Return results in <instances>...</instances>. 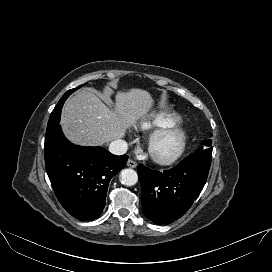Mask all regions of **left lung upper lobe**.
I'll use <instances>...</instances> for the list:
<instances>
[{"mask_svg": "<svg viewBox=\"0 0 272 272\" xmlns=\"http://www.w3.org/2000/svg\"><path fill=\"white\" fill-rule=\"evenodd\" d=\"M211 144H212V140H204V141H202V146H200V147L196 150V152L202 151L203 149H206V148L211 147Z\"/></svg>", "mask_w": 272, "mask_h": 272, "instance_id": "obj_1", "label": "left lung upper lobe"}]
</instances>
